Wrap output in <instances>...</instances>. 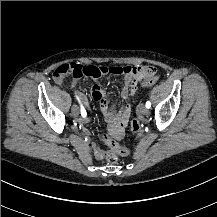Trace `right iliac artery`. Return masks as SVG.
Wrapping results in <instances>:
<instances>
[{"instance_id": "obj_1", "label": "right iliac artery", "mask_w": 217, "mask_h": 217, "mask_svg": "<svg viewBox=\"0 0 217 217\" xmlns=\"http://www.w3.org/2000/svg\"><path fill=\"white\" fill-rule=\"evenodd\" d=\"M77 99H78V101H79V103H80V100H79L78 97H77ZM81 115H82L83 117H86V115H87L86 110L84 109V107H83L82 104H81Z\"/></svg>"}]
</instances>
